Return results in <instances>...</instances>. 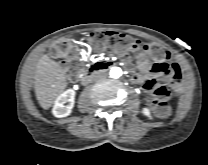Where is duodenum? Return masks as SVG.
<instances>
[{
    "label": "duodenum",
    "mask_w": 208,
    "mask_h": 165,
    "mask_svg": "<svg viewBox=\"0 0 208 165\" xmlns=\"http://www.w3.org/2000/svg\"><path fill=\"white\" fill-rule=\"evenodd\" d=\"M108 67L106 63H95L93 64L86 73H84L81 77V81L83 83H87L90 81L93 75L105 70Z\"/></svg>",
    "instance_id": "1"
}]
</instances>
